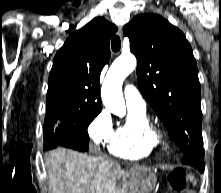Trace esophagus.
<instances>
[{
    "mask_svg": "<svg viewBox=\"0 0 221 193\" xmlns=\"http://www.w3.org/2000/svg\"><path fill=\"white\" fill-rule=\"evenodd\" d=\"M118 33H119V36H120L121 39H122V36H123L122 26H119V28H118Z\"/></svg>",
    "mask_w": 221,
    "mask_h": 193,
    "instance_id": "34e87169",
    "label": "esophagus"
}]
</instances>
